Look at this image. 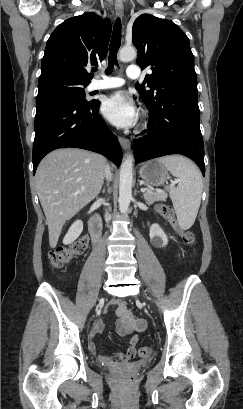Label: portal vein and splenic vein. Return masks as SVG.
<instances>
[{
    "label": "portal vein and splenic vein",
    "instance_id": "18ae733b",
    "mask_svg": "<svg viewBox=\"0 0 243 409\" xmlns=\"http://www.w3.org/2000/svg\"><path fill=\"white\" fill-rule=\"evenodd\" d=\"M175 183H176V182H174L173 185H174ZM141 191H142V192H146V191H148V189H147V188H141Z\"/></svg>",
    "mask_w": 243,
    "mask_h": 409
}]
</instances>
